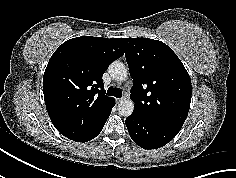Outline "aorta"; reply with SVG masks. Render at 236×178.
<instances>
[{"label": "aorta", "mask_w": 236, "mask_h": 178, "mask_svg": "<svg viewBox=\"0 0 236 178\" xmlns=\"http://www.w3.org/2000/svg\"><path fill=\"white\" fill-rule=\"evenodd\" d=\"M110 75L119 81L127 78L128 70L127 67L120 61H114L109 66ZM134 103L130 99L122 100L118 105V112L124 117H128L133 113Z\"/></svg>", "instance_id": "1"}]
</instances>
